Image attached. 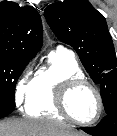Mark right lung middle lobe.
Here are the masks:
<instances>
[{
	"label": "right lung middle lobe",
	"mask_w": 117,
	"mask_h": 136,
	"mask_svg": "<svg viewBox=\"0 0 117 136\" xmlns=\"http://www.w3.org/2000/svg\"><path fill=\"white\" fill-rule=\"evenodd\" d=\"M28 59L0 56V99L15 102V85Z\"/></svg>",
	"instance_id": "1"
}]
</instances>
